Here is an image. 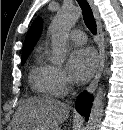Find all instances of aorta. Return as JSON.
<instances>
[{
	"label": "aorta",
	"instance_id": "1",
	"mask_svg": "<svg viewBox=\"0 0 123 130\" xmlns=\"http://www.w3.org/2000/svg\"><path fill=\"white\" fill-rule=\"evenodd\" d=\"M81 12L75 6L62 7L54 17L50 27L52 39V56L51 61L58 66H61L67 56L68 42L67 35L71 27L80 17ZM105 93L103 87L100 85L94 94V100L87 123L86 130H99L103 115V99Z\"/></svg>",
	"mask_w": 123,
	"mask_h": 130
}]
</instances>
